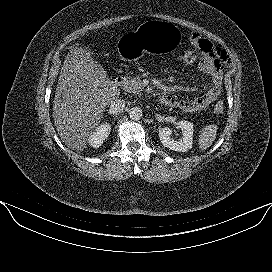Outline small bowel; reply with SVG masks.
<instances>
[{"label": "small bowel", "instance_id": "1", "mask_svg": "<svg viewBox=\"0 0 272 272\" xmlns=\"http://www.w3.org/2000/svg\"><path fill=\"white\" fill-rule=\"evenodd\" d=\"M191 43L199 50L200 60L198 69L211 77L209 89L201 96L192 99H176L167 96L168 106L179 108L185 112H197L207 108L220 95L223 80L224 64L228 61L227 53L219 47L214 46L198 33L190 35Z\"/></svg>", "mask_w": 272, "mask_h": 272}]
</instances>
